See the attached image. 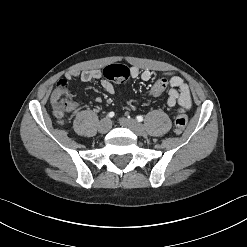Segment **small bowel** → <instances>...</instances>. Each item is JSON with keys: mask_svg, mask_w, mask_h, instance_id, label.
Segmentation results:
<instances>
[{"mask_svg": "<svg viewBox=\"0 0 247 247\" xmlns=\"http://www.w3.org/2000/svg\"><path fill=\"white\" fill-rule=\"evenodd\" d=\"M169 79L167 83L170 86L167 98V105L169 107H174L175 105H179L185 110H188L191 106V96L188 85L185 83L182 77L174 74L167 73L166 74ZM130 76L133 79L140 78L142 81H149L152 77V74L149 70H140L138 67H131ZM79 78L84 82H90L94 80H101V84L106 92L112 94L114 93V86L111 82L103 78L102 71L97 69L91 70H73L68 72L65 75V78L60 82L64 83L67 87L69 82L74 79ZM164 79V78H163ZM96 102H100L101 98L99 96L95 97ZM78 103H73V107H77Z\"/></svg>", "mask_w": 247, "mask_h": 247, "instance_id": "small-bowel-1", "label": "small bowel"}]
</instances>
